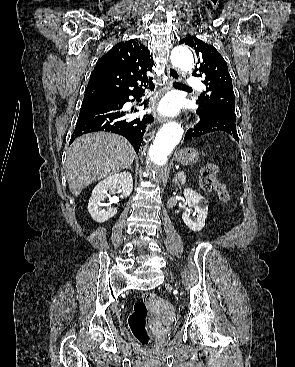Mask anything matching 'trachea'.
Returning <instances> with one entry per match:
<instances>
[{
	"label": "trachea",
	"mask_w": 295,
	"mask_h": 367,
	"mask_svg": "<svg viewBox=\"0 0 295 367\" xmlns=\"http://www.w3.org/2000/svg\"><path fill=\"white\" fill-rule=\"evenodd\" d=\"M173 86H175V87H184V88H189L188 86H186V85H184V84H182V83H179V82H174L173 83ZM190 89V88H189Z\"/></svg>",
	"instance_id": "trachea-1"
}]
</instances>
